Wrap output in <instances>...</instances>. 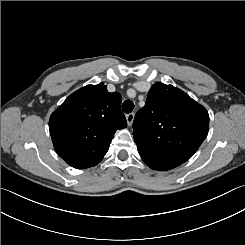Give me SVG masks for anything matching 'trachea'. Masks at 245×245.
Returning <instances> with one entry per match:
<instances>
[{
  "label": "trachea",
  "mask_w": 245,
  "mask_h": 245,
  "mask_svg": "<svg viewBox=\"0 0 245 245\" xmlns=\"http://www.w3.org/2000/svg\"><path fill=\"white\" fill-rule=\"evenodd\" d=\"M123 112L130 113L134 109V103L131 100H126L122 105Z\"/></svg>",
  "instance_id": "1"
}]
</instances>
